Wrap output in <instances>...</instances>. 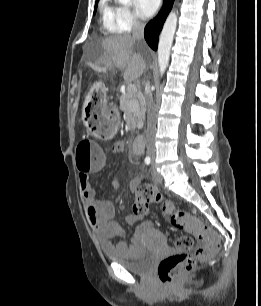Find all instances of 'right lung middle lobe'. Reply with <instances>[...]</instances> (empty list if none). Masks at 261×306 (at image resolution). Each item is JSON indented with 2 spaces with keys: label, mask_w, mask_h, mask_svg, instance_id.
I'll use <instances>...</instances> for the list:
<instances>
[{
  "label": "right lung middle lobe",
  "mask_w": 261,
  "mask_h": 306,
  "mask_svg": "<svg viewBox=\"0 0 261 306\" xmlns=\"http://www.w3.org/2000/svg\"><path fill=\"white\" fill-rule=\"evenodd\" d=\"M97 2H98V0L96 1V4H95L94 13H95L96 10H97Z\"/></svg>",
  "instance_id": "obj_1"
}]
</instances>
